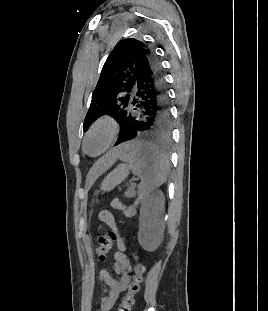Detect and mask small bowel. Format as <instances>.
I'll return each mask as SVG.
<instances>
[{"label":"small bowel","instance_id":"1","mask_svg":"<svg viewBox=\"0 0 268 311\" xmlns=\"http://www.w3.org/2000/svg\"><path fill=\"white\" fill-rule=\"evenodd\" d=\"M99 218L111 227L116 236L118 251L114 254V261L111 269L120 277L116 279L109 271L104 269L100 270L99 280L104 286V295L100 300H96L93 296L91 301L100 311H109L120 297V294L127 289L130 282L132 265L129 257L125 253L126 247L120 240L113 215L108 211H104L100 213Z\"/></svg>","mask_w":268,"mask_h":311}]
</instances>
